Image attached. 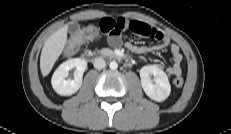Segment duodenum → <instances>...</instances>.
Listing matches in <instances>:
<instances>
[{"label":"duodenum","instance_id":"1","mask_svg":"<svg viewBox=\"0 0 231 134\" xmlns=\"http://www.w3.org/2000/svg\"><path fill=\"white\" fill-rule=\"evenodd\" d=\"M102 54L111 59L124 60L126 64H130V59L121 53L113 52V51H105ZM84 56L88 60H96L100 57V55L90 54V53H87Z\"/></svg>","mask_w":231,"mask_h":134}]
</instances>
